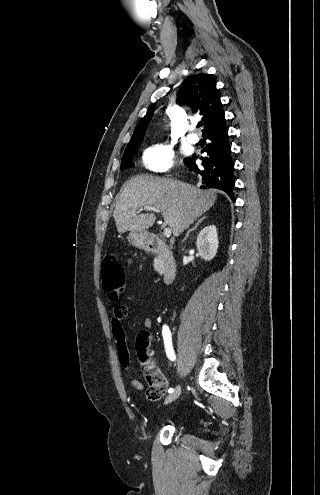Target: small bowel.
Segmentation results:
<instances>
[{"label": "small bowel", "mask_w": 320, "mask_h": 495, "mask_svg": "<svg viewBox=\"0 0 320 495\" xmlns=\"http://www.w3.org/2000/svg\"><path fill=\"white\" fill-rule=\"evenodd\" d=\"M129 298L131 300H141L143 299V296L140 295L129 296ZM128 313H129L128 307L125 305H121L119 309H117L116 307L114 308L111 318V330L115 339L117 340L118 350L124 362L128 360V353L125 342V331H124L123 320L127 317ZM143 323L146 328H150L152 326V320L150 317H146ZM152 373L160 374L157 370L153 371ZM130 383L132 387L136 390L143 389V384L137 379H131Z\"/></svg>", "instance_id": "1"}]
</instances>
